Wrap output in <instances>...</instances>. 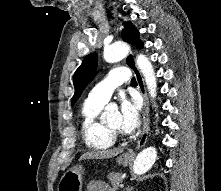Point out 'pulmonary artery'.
<instances>
[{
    "instance_id": "1",
    "label": "pulmonary artery",
    "mask_w": 221,
    "mask_h": 191,
    "mask_svg": "<svg viewBox=\"0 0 221 191\" xmlns=\"http://www.w3.org/2000/svg\"><path fill=\"white\" fill-rule=\"evenodd\" d=\"M131 79V71L126 67L112 69L108 76L98 83L88 94V100L97 103H106L113 91L122 83Z\"/></svg>"
}]
</instances>
